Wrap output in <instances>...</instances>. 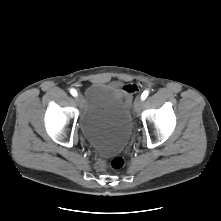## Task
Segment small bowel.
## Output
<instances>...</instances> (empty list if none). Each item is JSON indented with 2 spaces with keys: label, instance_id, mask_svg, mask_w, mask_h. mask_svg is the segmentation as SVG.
<instances>
[{
  "label": "small bowel",
  "instance_id": "obj_1",
  "mask_svg": "<svg viewBox=\"0 0 221 221\" xmlns=\"http://www.w3.org/2000/svg\"><path fill=\"white\" fill-rule=\"evenodd\" d=\"M111 86L114 87V88H115L117 91H119L121 94L124 93L121 83H119V82H114Z\"/></svg>",
  "mask_w": 221,
  "mask_h": 221
}]
</instances>
